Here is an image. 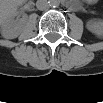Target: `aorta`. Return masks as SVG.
Instances as JSON below:
<instances>
[{"mask_svg":"<svg viewBox=\"0 0 103 103\" xmlns=\"http://www.w3.org/2000/svg\"><path fill=\"white\" fill-rule=\"evenodd\" d=\"M49 5H50L51 7H56V6L59 5V2H58L57 0H50V1H49Z\"/></svg>","mask_w":103,"mask_h":103,"instance_id":"obj_1","label":"aorta"}]
</instances>
